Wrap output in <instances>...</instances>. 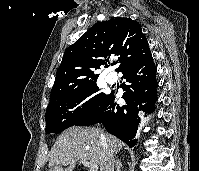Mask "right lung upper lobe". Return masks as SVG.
I'll use <instances>...</instances> for the list:
<instances>
[{"label": "right lung upper lobe", "instance_id": "obj_1", "mask_svg": "<svg viewBox=\"0 0 199 171\" xmlns=\"http://www.w3.org/2000/svg\"><path fill=\"white\" fill-rule=\"evenodd\" d=\"M148 41L141 25L116 17L100 22L85 32L63 55L51 90L49 105L73 94L81 87L96 82L95 71L106 67L111 56H117L122 71L150 56ZM48 105V106H49Z\"/></svg>", "mask_w": 199, "mask_h": 171}]
</instances>
